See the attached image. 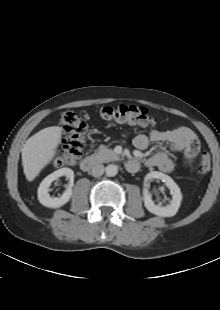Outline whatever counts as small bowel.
<instances>
[{
  "instance_id": "c3829d8e",
  "label": "small bowel",
  "mask_w": 220,
  "mask_h": 310,
  "mask_svg": "<svg viewBox=\"0 0 220 310\" xmlns=\"http://www.w3.org/2000/svg\"><path fill=\"white\" fill-rule=\"evenodd\" d=\"M151 143H165L169 150L182 152L186 164L194 160L200 151V142L188 127L166 131L152 130L148 134H137L133 138V144L139 150H145ZM145 164L149 167H158L166 173L174 169V162L166 150L156 152L146 159Z\"/></svg>"
}]
</instances>
